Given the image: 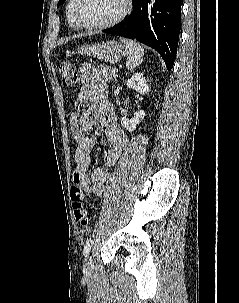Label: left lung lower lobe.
<instances>
[{"mask_svg": "<svg viewBox=\"0 0 239 303\" xmlns=\"http://www.w3.org/2000/svg\"><path fill=\"white\" fill-rule=\"evenodd\" d=\"M133 4L129 18L103 32L136 39L154 48L171 70L177 53L183 0H133Z\"/></svg>", "mask_w": 239, "mask_h": 303, "instance_id": "left-lung-lower-lobe-1", "label": "left lung lower lobe"}]
</instances>
